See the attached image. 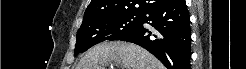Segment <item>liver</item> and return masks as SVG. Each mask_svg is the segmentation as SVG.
<instances>
[{
    "mask_svg": "<svg viewBox=\"0 0 246 69\" xmlns=\"http://www.w3.org/2000/svg\"><path fill=\"white\" fill-rule=\"evenodd\" d=\"M164 69L161 62L142 47L117 42H103L89 49L76 69Z\"/></svg>",
    "mask_w": 246,
    "mask_h": 69,
    "instance_id": "1",
    "label": "liver"
}]
</instances>
